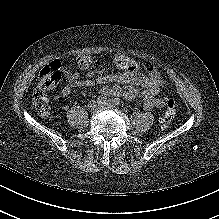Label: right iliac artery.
<instances>
[{"mask_svg": "<svg viewBox=\"0 0 219 219\" xmlns=\"http://www.w3.org/2000/svg\"><path fill=\"white\" fill-rule=\"evenodd\" d=\"M107 101V97L106 96H99L97 99H96V101H91L90 102V106L92 107V106H94L95 104H102V103H104V102H106Z\"/></svg>", "mask_w": 219, "mask_h": 219, "instance_id": "1", "label": "right iliac artery"}]
</instances>
